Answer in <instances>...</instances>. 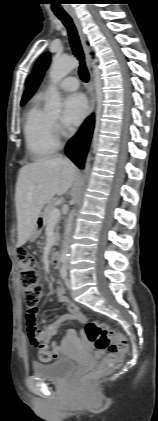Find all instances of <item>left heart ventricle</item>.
I'll return each mask as SVG.
<instances>
[{"label":"left heart ventricle","instance_id":"1","mask_svg":"<svg viewBox=\"0 0 158 421\" xmlns=\"http://www.w3.org/2000/svg\"><path fill=\"white\" fill-rule=\"evenodd\" d=\"M54 118H55V119H57V118H58V116H55Z\"/></svg>","mask_w":158,"mask_h":421}]
</instances>
